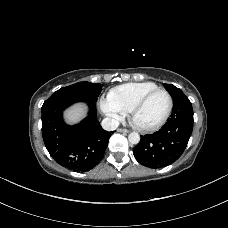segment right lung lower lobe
<instances>
[{
	"mask_svg": "<svg viewBox=\"0 0 228 228\" xmlns=\"http://www.w3.org/2000/svg\"><path fill=\"white\" fill-rule=\"evenodd\" d=\"M79 101L88 104V116L79 124L68 126L63 121V111ZM42 135L48 152L58 164L86 172L103 158L111 132L105 131L96 119L95 103L53 94L42 106Z\"/></svg>",
	"mask_w": 228,
	"mask_h": 228,
	"instance_id": "obj_1",
	"label": "right lung lower lobe"
}]
</instances>
